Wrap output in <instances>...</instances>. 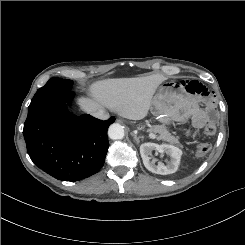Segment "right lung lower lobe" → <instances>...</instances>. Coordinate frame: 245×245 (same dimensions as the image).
<instances>
[{
    "label": "right lung lower lobe",
    "instance_id": "98d812e1",
    "mask_svg": "<svg viewBox=\"0 0 245 245\" xmlns=\"http://www.w3.org/2000/svg\"><path fill=\"white\" fill-rule=\"evenodd\" d=\"M69 81H50L37 90L23 135L36 166L58 180L79 181L102 168L109 147L107 130L115 118L102 121L68 112L73 97Z\"/></svg>",
    "mask_w": 245,
    "mask_h": 245
}]
</instances>
